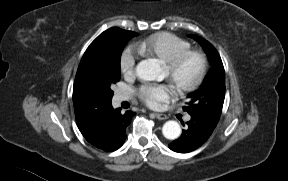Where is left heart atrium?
<instances>
[{"label": "left heart atrium", "mask_w": 288, "mask_h": 181, "mask_svg": "<svg viewBox=\"0 0 288 181\" xmlns=\"http://www.w3.org/2000/svg\"><path fill=\"white\" fill-rule=\"evenodd\" d=\"M139 98L150 108H159L174 96L173 88L168 84L145 83L137 90Z\"/></svg>", "instance_id": "39dd6f15"}]
</instances>
